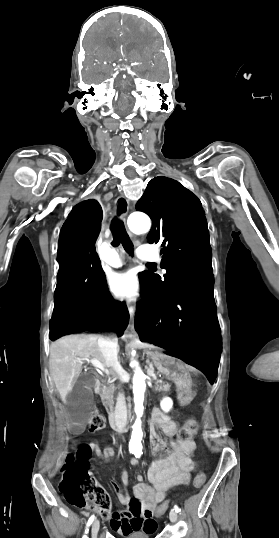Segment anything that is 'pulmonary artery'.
I'll list each match as a JSON object with an SVG mask.
<instances>
[{
  "label": "pulmonary artery",
  "instance_id": "obj_1",
  "mask_svg": "<svg viewBox=\"0 0 279 538\" xmlns=\"http://www.w3.org/2000/svg\"><path fill=\"white\" fill-rule=\"evenodd\" d=\"M123 254L120 251L114 250L111 255L105 257L102 261L105 268L118 267L123 263Z\"/></svg>",
  "mask_w": 279,
  "mask_h": 538
}]
</instances>
